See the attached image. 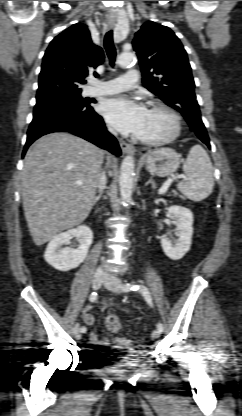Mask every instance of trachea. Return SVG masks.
Instances as JSON below:
<instances>
[{
	"mask_svg": "<svg viewBox=\"0 0 242 416\" xmlns=\"http://www.w3.org/2000/svg\"><path fill=\"white\" fill-rule=\"evenodd\" d=\"M104 47L106 49L110 65L113 67L116 59V49L113 42V31L110 30L105 34Z\"/></svg>",
	"mask_w": 242,
	"mask_h": 416,
	"instance_id": "obj_1",
	"label": "trachea"
}]
</instances>
